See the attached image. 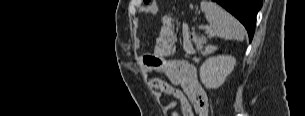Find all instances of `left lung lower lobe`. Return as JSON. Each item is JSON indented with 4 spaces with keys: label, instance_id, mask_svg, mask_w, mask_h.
Segmentation results:
<instances>
[{
    "label": "left lung lower lobe",
    "instance_id": "obj_1",
    "mask_svg": "<svg viewBox=\"0 0 305 116\" xmlns=\"http://www.w3.org/2000/svg\"><path fill=\"white\" fill-rule=\"evenodd\" d=\"M234 15L246 28L251 41L255 31L256 15L262 0H214Z\"/></svg>",
    "mask_w": 305,
    "mask_h": 116
}]
</instances>
